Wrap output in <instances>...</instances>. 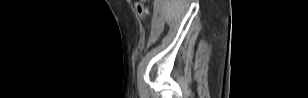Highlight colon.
Here are the masks:
<instances>
[{
	"label": "colon",
	"mask_w": 308,
	"mask_h": 98,
	"mask_svg": "<svg viewBox=\"0 0 308 98\" xmlns=\"http://www.w3.org/2000/svg\"><path fill=\"white\" fill-rule=\"evenodd\" d=\"M135 8L141 18H145L147 16L148 11L144 1H137L135 3Z\"/></svg>",
	"instance_id": "1"
}]
</instances>
